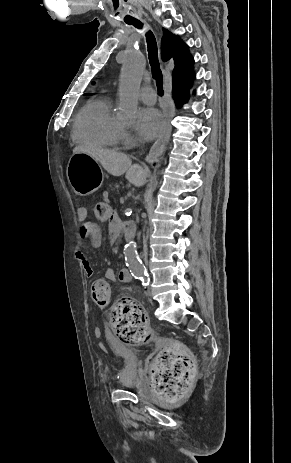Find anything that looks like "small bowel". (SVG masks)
Masks as SVG:
<instances>
[{
  "mask_svg": "<svg viewBox=\"0 0 291 463\" xmlns=\"http://www.w3.org/2000/svg\"><path fill=\"white\" fill-rule=\"evenodd\" d=\"M78 218L80 220V239L88 238L93 247L99 248L102 244V233L99 227L88 219V210L86 208H81L78 211ZM107 222L109 226V235L111 237L109 243L112 246H117L119 244L118 237L120 233V228L118 227L119 219L112 212V218L107 219ZM75 256L80 262L85 276L91 277L93 275V269L84 253L82 252L80 245L77 246ZM104 277L111 282L118 280L120 282L127 283L132 280V276H129L124 269H122L117 275L114 269L108 268L104 273Z\"/></svg>",
  "mask_w": 291,
  "mask_h": 463,
  "instance_id": "obj_1",
  "label": "small bowel"
}]
</instances>
